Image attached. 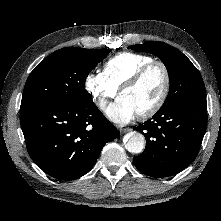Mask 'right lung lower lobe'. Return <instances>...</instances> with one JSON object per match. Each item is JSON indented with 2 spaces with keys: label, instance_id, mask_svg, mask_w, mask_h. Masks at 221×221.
I'll use <instances>...</instances> for the list:
<instances>
[{
  "label": "right lung lower lobe",
  "instance_id": "98d812e1",
  "mask_svg": "<svg viewBox=\"0 0 221 221\" xmlns=\"http://www.w3.org/2000/svg\"><path fill=\"white\" fill-rule=\"evenodd\" d=\"M20 122L31 159L60 180L90 171L104 145L119 135L93 101L21 104Z\"/></svg>",
  "mask_w": 221,
  "mask_h": 221
}]
</instances>
